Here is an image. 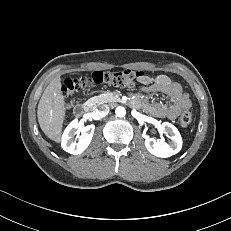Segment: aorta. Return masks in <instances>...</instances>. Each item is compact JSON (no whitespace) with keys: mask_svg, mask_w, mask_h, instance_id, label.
<instances>
[{"mask_svg":"<svg viewBox=\"0 0 231 231\" xmlns=\"http://www.w3.org/2000/svg\"><path fill=\"white\" fill-rule=\"evenodd\" d=\"M115 113L118 117H124L126 115V110L124 107L119 106L116 108Z\"/></svg>","mask_w":231,"mask_h":231,"instance_id":"aorta-1","label":"aorta"}]
</instances>
